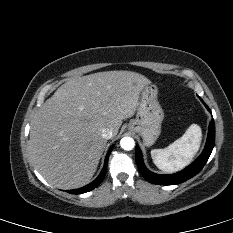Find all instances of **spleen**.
Listing matches in <instances>:
<instances>
[{"label": "spleen", "instance_id": "spleen-1", "mask_svg": "<svg viewBox=\"0 0 233 233\" xmlns=\"http://www.w3.org/2000/svg\"><path fill=\"white\" fill-rule=\"evenodd\" d=\"M202 138L200 126L192 124L182 137L164 149L151 150L154 164L162 171L172 173L184 168L198 152Z\"/></svg>", "mask_w": 233, "mask_h": 233}]
</instances>
